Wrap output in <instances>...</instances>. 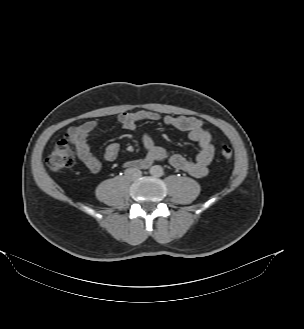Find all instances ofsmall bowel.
Instances as JSON below:
<instances>
[{"instance_id": "1", "label": "small bowel", "mask_w": 304, "mask_h": 329, "mask_svg": "<svg viewBox=\"0 0 304 329\" xmlns=\"http://www.w3.org/2000/svg\"><path fill=\"white\" fill-rule=\"evenodd\" d=\"M118 123L126 130L136 131L139 122L162 121L165 125L187 132L191 141L199 146V152L195 160H189L179 154L170 155L168 151L157 145L154 138L147 132L141 133V140L146 155L141 159L130 160L125 163L128 167H147L155 161L168 160L170 164L193 177H204L208 173L209 166L214 155V139L204 128L202 120L192 116H161L152 111L123 112L118 118ZM99 126L97 121H88L79 126L71 127L69 134L74 142L76 152L80 160L92 172L101 169L102 162L94 156L87 143L88 136ZM120 152L117 143L108 144L103 152L102 160L114 161Z\"/></svg>"}]
</instances>
